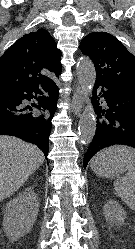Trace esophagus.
Wrapping results in <instances>:
<instances>
[{"mask_svg": "<svg viewBox=\"0 0 135 249\" xmlns=\"http://www.w3.org/2000/svg\"><path fill=\"white\" fill-rule=\"evenodd\" d=\"M83 91L79 86L76 87V90L72 97V112L74 115L78 116L83 109Z\"/></svg>", "mask_w": 135, "mask_h": 249, "instance_id": "obj_1", "label": "esophagus"}]
</instances>
